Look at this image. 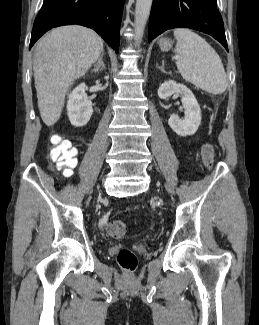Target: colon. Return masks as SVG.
I'll use <instances>...</instances> for the list:
<instances>
[{"label":"colon","instance_id":"colon-1","mask_svg":"<svg viewBox=\"0 0 259 325\" xmlns=\"http://www.w3.org/2000/svg\"><path fill=\"white\" fill-rule=\"evenodd\" d=\"M76 150L68 143L67 140L60 136H54L51 139L50 157L56 164L57 168L63 172L65 176L72 174L73 168L77 164ZM214 148L211 144L204 145L202 149V158L206 166H211L214 162ZM106 232L113 238H121L126 233V225L120 220H112L107 218L104 224ZM119 265L127 271L136 268V255L128 248H122L117 255Z\"/></svg>","mask_w":259,"mask_h":325}]
</instances>
